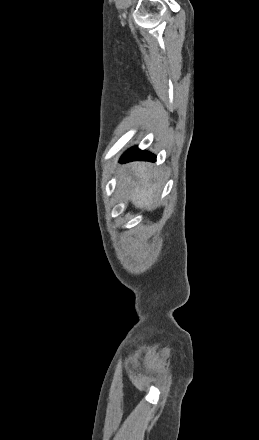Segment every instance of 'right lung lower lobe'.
Wrapping results in <instances>:
<instances>
[{
    "label": "right lung lower lobe",
    "mask_w": 259,
    "mask_h": 440,
    "mask_svg": "<svg viewBox=\"0 0 259 440\" xmlns=\"http://www.w3.org/2000/svg\"><path fill=\"white\" fill-rule=\"evenodd\" d=\"M132 160H147L154 162L156 156L147 151H141L137 147L127 150L120 159V163H125Z\"/></svg>",
    "instance_id": "right-lung-lower-lobe-1"
}]
</instances>
